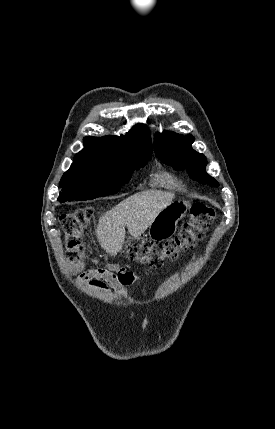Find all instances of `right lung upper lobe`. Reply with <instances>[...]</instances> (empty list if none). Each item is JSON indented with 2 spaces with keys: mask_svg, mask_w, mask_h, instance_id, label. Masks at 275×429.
<instances>
[{
  "mask_svg": "<svg viewBox=\"0 0 275 429\" xmlns=\"http://www.w3.org/2000/svg\"><path fill=\"white\" fill-rule=\"evenodd\" d=\"M84 145L74 162H105L125 155L151 156L152 153L150 132L144 124H136L126 136L85 137Z\"/></svg>",
  "mask_w": 275,
  "mask_h": 429,
  "instance_id": "right-lung-upper-lobe-1",
  "label": "right lung upper lobe"
}]
</instances>
